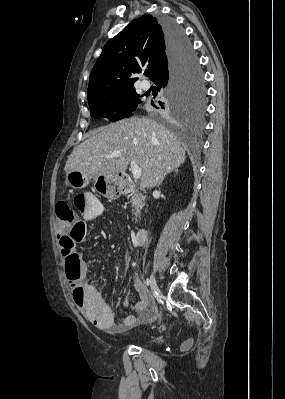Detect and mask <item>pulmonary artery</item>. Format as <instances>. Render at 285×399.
<instances>
[{"label":"pulmonary artery","instance_id":"pulmonary-artery-1","mask_svg":"<svg viewBox=\"0 0 285 399\" xmlns=\"http://www.w3.org/2000/svg\"><path fill=\"white\" fill-rule=\"evenodd\" d=\"M150 86H151L150 83H149L148 81H146V80H143V81L141 82V87H142V89H144V90L149 89Z\"/></svg>","mask_w":285,"mask_h":399}]
</instances>
